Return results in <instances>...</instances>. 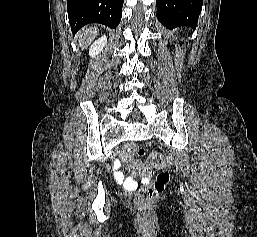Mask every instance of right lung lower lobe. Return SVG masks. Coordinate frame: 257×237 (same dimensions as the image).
I'll return each mask as SVG.
<instances>
[{"label":"right lung lower lobe","instance_id":"right-lung-lower-lobe-1","mask_svg":"<svg viewBox=\"0 0 257 237\" xmlns=\"http://www.w3.org/2000/svg\"><path fill=\"white\" fill-rule=\"evenodd\" d=\"M123 1L67 0L68 17L73 33L89 23L116 28L121 21Z\"/></svg>","mask_w":257,"mask_h":237}]
</instances>
